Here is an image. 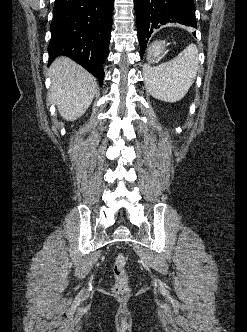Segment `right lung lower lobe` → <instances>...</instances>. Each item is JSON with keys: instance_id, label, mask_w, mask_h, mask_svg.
Returning <instances> with one entry per match:
<instances>
[{"instance_id": "right-lung-lower-lobe-1", "label": "right lung lower lobe", "mask_w": 247, "mask_h": 332, "mask_svg": "<svg viewBox=\"0 0 247 332\" xmlns=\"http://www.w3.org/2000/svg\"><path fill=\"white\" fill-rule=\"evenodd\" d=\"M113 0H55L49 61L65 55L103 83L111 38Z\"/></svg>"}]
</instances>
